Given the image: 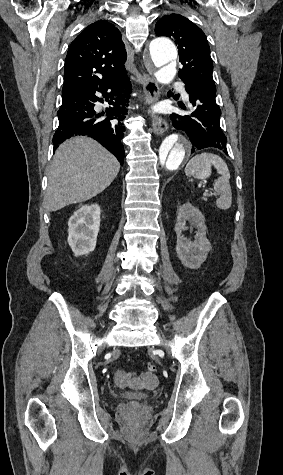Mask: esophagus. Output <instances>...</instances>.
<instances>
[{"instance_id":"obj_1","label":"esophagus","mask_w":283,"mask_h":475,"mask_svg":"<svg viewBox=\"0 0 283 475\" xmlns=\"http://www.w3.org/2000/svg\"><path fill=\"white\" fill-rule=\"evenodd\" d=\"M143 93L148 103H155L161 95L158 83L147 74L143 75ZM153 131L155 134H163L168 129V124L160 115H154Z\"/></svg>"}]
</instances>
